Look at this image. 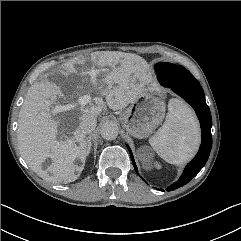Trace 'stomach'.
I'll list each match as a JSON object with an SVG mask.
<instances>
[{
  "label": "stomach",
  "mask_w": 241,
  "mask_h": 241,
  "mask_svg": "<svg viewBox=\"0 0 241 241\" xmlns=\"http://www.w3.org/2000/svg\"><path fill=\"white\" fill-rule=\"evenodd\" d=\"M165 103L153 92H145L120 114L126 131L136 138L148 137L162 123Z\"/></svg>",
  "instance_id": "0dacf381"
}]
</instances>
